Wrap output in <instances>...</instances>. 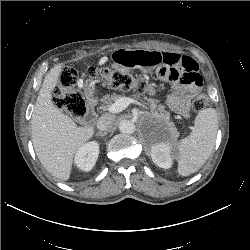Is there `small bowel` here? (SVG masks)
Returning a JSON list of instances; mask_svg holds the SVG:
<instances>
[{
  "mask_svg": "<svg viewBox=\"0 0 250 250\" xmlns=\"http://www.w3.org/2000/svg\"><path fill=\"white\" fill-rule=\"evenodd\" d=\"M112 59L116 67L155 71L160 80L173 85L168 106L181 116L189 114L191 100L203 82L192 58L170 52L122 49L114 52Z\"/></svg>",
  "mask_w": 250,
  "mask_h": 250,
  "instance_id": "1",
  "label": "small bowel"
}]
</instances>
